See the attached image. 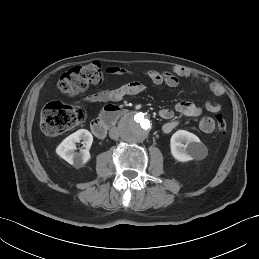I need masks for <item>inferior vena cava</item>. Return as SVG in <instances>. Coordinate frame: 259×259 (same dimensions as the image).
Returning a JSON list of instances; mask_svg holds the SVG:
<instances>
[{"mask_svg": "<svg viewBox=\"0 0 259 259\" xmlns=\"http://www.w3.org/2000/svg\"><path fill=\"white\" fill-rule=\"evenodd\" d=\"M109 136L111 139H118V137L120 136L119 129H117V128L110 129Z\"/></svg>", "mask_w": 259, "mask_h": 259, "instance_id": "obj_1", "label": "inferior vena cava"}]
</instances>
